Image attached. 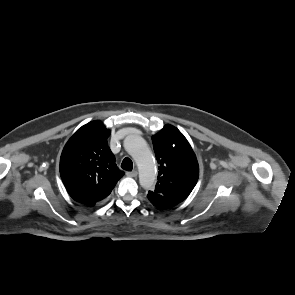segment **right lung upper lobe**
Wrapping results in <instances>:
<instances>
[{
	"mask_svg": "<svg viewBox=\"0 0 295 295\" xmlns=\"http://www.w3.org/2000/svg\"><path fill=\"white\" fill-rule=\"evenodd\" d=\"M109 135L101 121L89 122L74 133L62 151V181L69 195L81 204L94 206L105 199L124 175L108 146Z\"/></svg>",
	"mask_w": 295,
	"mask_h": 295,
	"instance_id": "1",
	"label": "right lung upper lobe"
}]
</instances>
